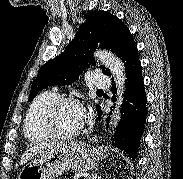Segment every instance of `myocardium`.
<instances>
[{"label": "myocardium", "mask_w": 183, "mask_h": 179, "mask_svg": "<svg viewBox=\"0 0 183 179\" xmlns=\"http://www.w3.org/2000/svg\"><path fill=\"white\" fill-rule=\"evenodd\" d=\"M65 104H73L78 106L79 108L82 109L84 113V121L81 124V126L70 133H61L57 131L54 127V116L57 112V110ZM87 122V114L86 110L83 106V104L76 98L74 97H69V96H61L55 98L45 109L43 116H42V126L44 130L53 138H58V139H70L73 137L78 136L84 129L85 124Z\"/></svg>", "instance_id": "1"}]
</instances>
